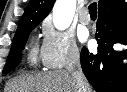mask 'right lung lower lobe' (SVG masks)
Segmentation results:
<instances>
[{"mask_svg": "<svg viewBox=\"0 0 127 92\" xmlns=\"http://www.w3.org/2000/svg\"><path fill=\"white\" fill-rule=\"evenodd\" d=\"M95 36L98 53L81 51L83 73L97 92H127V64L122 62L127 50L113 49L115 43H127V3L99 11Z\"/></svg>", "mask_w": 127, "mask_h": 92, "instance_id": "1", "label": "right lung lower lobe"}]
</instances>
